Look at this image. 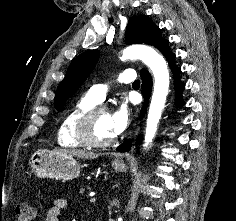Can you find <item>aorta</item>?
Listing matches in <instances>:
<instances>
[{"label": "aorta", "instance_id": "obj_1", "mask_svg": "<svg viewBox=\"0 0 236 221\" xmlns=\"http://www.w3.org/2000/svg\"><path fill=\"white\" fill-rule=\"evenodd\" d=\"M123 59H140L152 71L154 76V90L149 107L145 130L144 147L153 141L157 132L159 120L164 108L169 89V71L164 58L152 47L146 45H132L124 49Z\"/></svg>", "mask_w": 236, "mask_h": 221}]
</instances>
